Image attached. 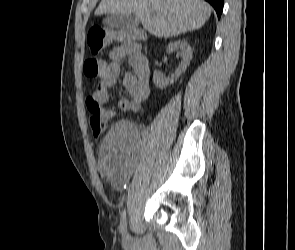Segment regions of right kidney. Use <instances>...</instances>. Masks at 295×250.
Returning a JSON list of instances; mask_svg holds the SVG:
<instances>
[{"mask_svg":"<svg viewBox=\"0 0 295 250\" xmlns=\"http://www.w3.org/2000/svg\"><path fill=\"white\" fill-rule=\"evenodd\" d=\"M168 53L177 52L182 57L179 67L175 70L170 78H166L161 71H154L153 81L156 87L163 89L168 85L173 84L182 73H184L192 60L193 50L185 40H178L169 44L167 48Z\"/></svg>","mask_w":295,"mask_h":250,"instance_id":"ca27d5eb","label":"right kidney"}]
</instances>
